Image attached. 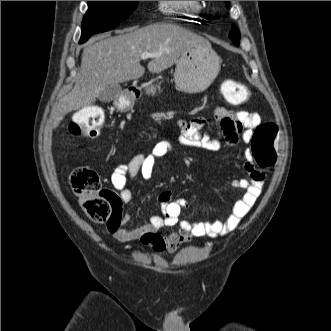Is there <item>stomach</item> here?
Wrapping results in <instances>:
<instances>
[{"label":"stomach","instance_id":"stomach-1","mask_svg":"<svg viewBox=\"0 0 331 331\" xmlns=\"http://www.w3.org/2000/svg\"><path fill=\"white\" fill-rule=\"evenodd\" d=\"M221 61L210 43H199L188 48L178 59L174 80L176 88L186 93H199L206 90L220 71ZM156 88L150 86L147 93L154 94ZM133 99L122 96L117 102L121 111L133 106Z\"/></svg>","mask_w":331,"mask_h":331}]
</instances>
